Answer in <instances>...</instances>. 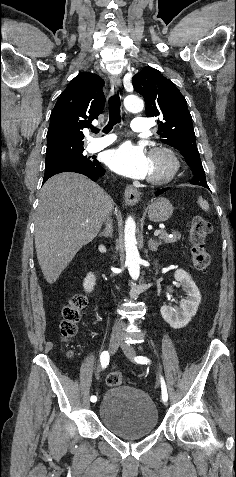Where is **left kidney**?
<instances>
[{"instance_id":"5707ae66","label":"left kidney","mask_w":236,"mask_h":477,"mask_svg":"<svg viewBox=\"0 0 236 477\" xmlns=\"http://www.w3.org/2000/svg\"><path fill=\"white\" fill-rule=\"evenodd\" d=\"M174 277L182 285L188 297L180 303L179 307L163 305L161 315L172 328L180 329L185 327L196 314L201 302V295L195 282L186 271L179 269L175 272Z\"/></svg>"}]
</instances>
